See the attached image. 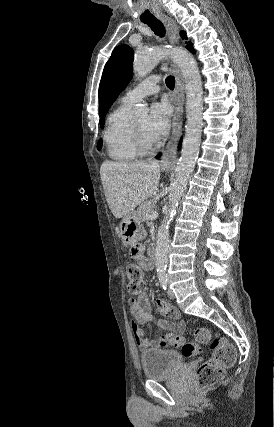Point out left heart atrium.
Listing matches in <instances>:
<instances>
[{
    "instance_id": "left-heart-atrium-1",
    "label": "left heart atrium",
    "mask_w": 274,
    "mask_h": 427,
    "mask_svg": "<svg viewBox=\"0 0 274 427\" xmlns=\"http://www.w3.org/2000/svg\"><path fill=\"white\" fill-rule=\"evenodd\" d=\"M171 115L172 110L170 105L165 101L154 103L151 106L147 131L152 138L158 140L168 133Z\"/></svg>"
}]
</instances>
